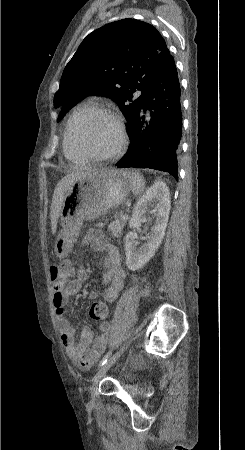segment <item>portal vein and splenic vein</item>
<instances>
[{"label": "portal vein and splenic vein", "instance_id": "portal-vein-and-splenic-vein-1", "mask_svg": "<svg viewBox=\"0 0 245 450\" xmlns=\"http://www.w3.org/2000/svg\"><path fill=\"white\" fill-rule=\"evenodd\" d=\"M121 218H122L123 220H127L128 215H127V214H123V215H121Z\"/></svg>", "mask_w": 245, "mask_h": 450}]
</instances>
